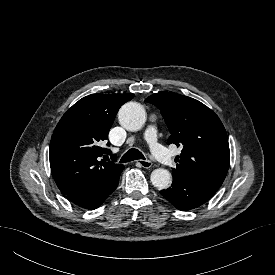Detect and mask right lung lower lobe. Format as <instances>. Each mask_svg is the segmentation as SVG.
<instances>
[{"label": "right lung lower lobe", "instance_id": "obj_1", "mask_svg": "<svg viewBox=\"0 0 275 275\" xmlns=\"http://www.w3.org/2000/svg\"><path fill=\"white\" fill-rule=\"evenodd\" d=\"M123 169L124 166L105 183H101L87 190L68 194L66 197L82 208L96 209L117 188Z\"/></svg>", "mask_w": 275, "mask_h": 275}]
</instances>
